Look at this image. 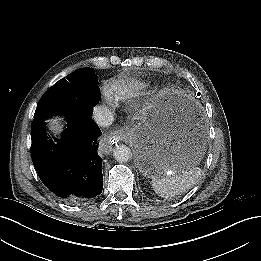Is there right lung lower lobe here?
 <instances>
[{
	"label": "right lung lower lobe",
	"instance_id": "right-lung-lower-lobe-1",
	"mask_svg": "<svg viewBox=\"0 0 261 261\" xmlns=\"http://www.w3.org/2000/svg\"><path fill=\"white\" fill-rule=\"evenodd\" d=\"M92 109L78 108L64 115L66 129L59 139L46 133V123H32L31 154L43 184L60 199L80 203L103 189L102 159L97 153L101 131Z\"/></svg>",
	"mask_w": 261,
	"mask_h": 261
}]
</instances>
